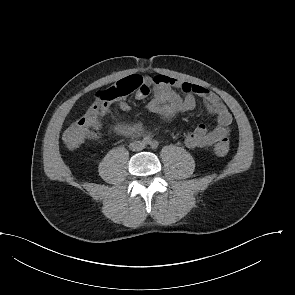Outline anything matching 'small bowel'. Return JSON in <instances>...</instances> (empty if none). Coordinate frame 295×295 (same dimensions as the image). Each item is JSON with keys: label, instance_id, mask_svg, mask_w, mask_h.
Returning a JSON list of instances; mask_svg holds the SVG:
<instances>
[{"label": "small bowel", "instance_id": "1", "mask_svg": "<svg viewBox=\"0 0 295 295\" xmlns=\"http://www.w3.org/2000/svg\"><path fill=\"white\" fill-rule=\"evenodd\" d=\"M149 94H152V98L148 102V110L165 121L173 120L182 113L194 110L196 97L201 98L207 111L216 117L217 125L213 129L200 124L185 135L184 143L188 148H205L223 142L228 143L233 118L220 97L211 90L177 78L156 75L143 79V86L136 92V98L143 99ZM119 108L128 111L130 105L121 101ZM120 131L129 135L139 134L142 132V126L140 124L122 125Z\"/></svg>", "mask_w": 295, "mask_h": 295}]
</instances>
